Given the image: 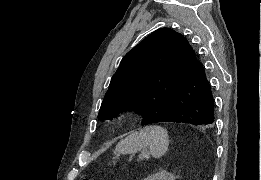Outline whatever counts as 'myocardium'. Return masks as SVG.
Listing matches in <instances>:
<instances>
[{
  "label": "myocardium",
  "mask_w": 261,
  "mask_h": 180,
  "mask_svg": "<svg viewBox=\"0 0 261 180\" xmlns=\"http://www.w3.org/2000/svg\"><path fill=\"white\" fill-rule=\"evenodd\" d=\"M131 115H132L131 110L122 109L116 112L114 120L117 123H121L127 120Z\"/></svg>",
  "instance_id": "1"
}]
</instances>
